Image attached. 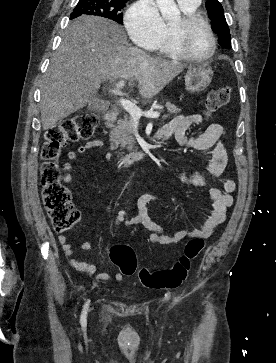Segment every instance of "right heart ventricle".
I'll use <instances>...</instances> for the list:
<instances>
[{
  "mask_svg": "<svg viewBox=\"0 0 276 363\" xmlns=\"http://www.w3.org/2000/svg\"><path fill=\"white\" fill-rule=\"evenodd\" d=\"M180 8L184 12V14H189L192 12H196L198 9V5L188 6L180 4ZM172 28V23L165 24L163 35L153 49L158 51L162 55H166L172 58H182L181 53L177 50L173 43Z\"/></svg>",
  "mask_w": 276,
  "mask_h": 363,
  "instance_id": "e07e8e85",
  "label": "right heart ventricle"
}]
</instances>
